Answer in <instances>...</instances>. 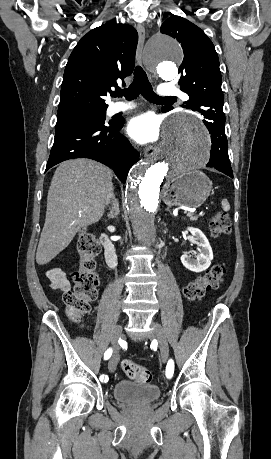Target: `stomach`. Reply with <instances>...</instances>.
Instances as JSON below:
<instances>
[{"instance_id": "obj_1", "label": "stomach", "mask_w": 271, "mask_h": 459, "mask_svg": "<svg viewBox=\"0 0 271 459\" xmlns=\"http://www.w3.org/2000/svg\"><path fill=\"white\" fill-rule=\"evenodd\" d=\"M212 190V182L203 172H188L168 180L163 186L162 200L168 206L199 208Z\"/></svg>"}]
</instances>
